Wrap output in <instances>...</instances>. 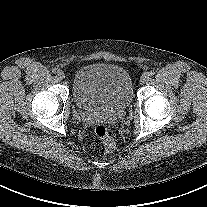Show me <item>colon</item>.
<instances>
[{"mask_svg": "<svg viewBox=\"0 0 207 207\" xmlns=\"http://www.w3.org/2000/svg\"><path fill=\"white\" fill-rule=\"evenodd\" d=\"M94 134L102 142L103 149L106 153L114 151L115 142L111 137L108 128L104 124H97L94 128Z\"/></svg>", "mask_w": 207, "mask_h": 207, "instance_id": "5ec220e1", "label": "colon"}]
</instances>
